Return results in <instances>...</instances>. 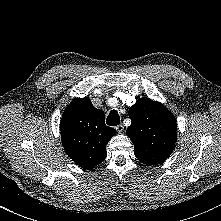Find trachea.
<instances>
[{
	"mask_svg": "<svg viewBox=\"0 0 221 221\" xmlns=\"http://www.w3.org/2000/svg\"><path fill=\"white\" fill-rule=\"evenodd\" d=\"M107 124L109 126H117L120 123V116L117 110H111L107 117Z\"/></svg>",
	"mask_w": 221,
	"mask_h": 221,
	"instance_id": "trachea-1",
	"label": "trachea"
}]
</instances>
